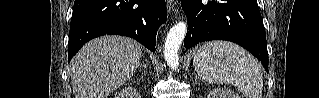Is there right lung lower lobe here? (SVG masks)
<instances>
[{"instance_id":"right-lung-lower-lobe-1","label":"right lung lower lobe","mask_w":319,"mask_h":98,"mask_svg":"<svg viewBox=\"0 0 319 98\" xmlns=\"http://www.w3.org/2000/svg\"><path fill=\"white\" fill-rule=\"evenodd\" d=\"M166 18L165 0H75L68 62L86 42L106 34L134 38L154 52L157 29Z\"/></svg>"}]
</instances>
